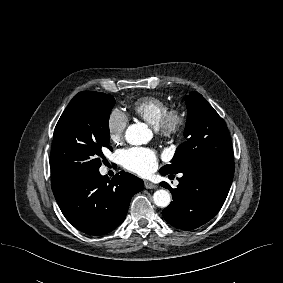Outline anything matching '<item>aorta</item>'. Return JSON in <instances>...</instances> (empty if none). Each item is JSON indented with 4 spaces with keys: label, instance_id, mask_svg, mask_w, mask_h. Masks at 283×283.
Listing matches in <instances>:
<instances>
[{
    "label": "aorta",
    "instance_id": "1",
    "mask_svg": "<svg viewBox=\"0 0 283 283\" xmlns=\"http://www.w3.org/2000/svg\"><path fill=\"white\" fill-rule=\"evenodd\" d=\"M125 138L131 145L145 144L151 139V131L145 124L135 123L127 128ZM153 201L158 207L165 208L171 202V195L167 190L160 189L154 192Z\"/></svg>",
    "mask_w": 283,
    "mask_h": 283
}]
</instances>
